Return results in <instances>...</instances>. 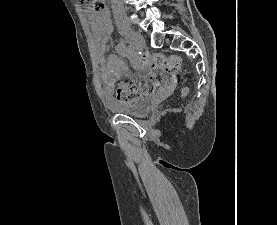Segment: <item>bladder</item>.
<instances>
[{
	"instance_id": "1",
	"label": "bladder",
	"mask_w": 277,
	"mask_h": 225,
	"mask_svg": "<svg viewBox=\"0 0 277 225\" xmlns=\"http://www.w3.org/2000/svg\"><path fill=\"white\" fill-rule=\"evenodd\" d=\"M109 108L110 110L120 114L142 116L148 114L152 110L153 103L151 95H147L134 103L122 102L116 104H109Z\"/></svg>"
}]
</instances>
